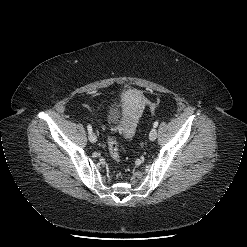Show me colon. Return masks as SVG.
<instances>
[{"label": "colon", "instance_id": "obj_1", "mask_svg": "<svg viewBox=\"0 0 247 247\" xmlns=\"http://www.w3.org/2000/svg\"><path fill=\"white\" fill-rule=\"evenodd\" d=\"M108 148L112 159L119 164L121 162V155L117 141L113 137L108 138Z\"/></svg>", "mask_w": 247, "mask_h": 247}]
</instances>
